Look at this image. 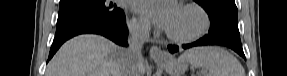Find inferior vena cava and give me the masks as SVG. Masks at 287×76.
<instances>
[{"label":"inferior vena cava","instance_id":"1","mask_svg":"<svg viewBox=\"0 0 287 76\" xmlns=\"http://www.w3.org/2000/svg\"><path fill=\"white\" fill-rule=\"evenodd\" d=\"M129 38L128 47L124 49V61L121 76H139L143 67L142 47L149 40L150 25L139 21L128 24Z\"/></svg>","mask_w":287,"mask_h":76}]
</instances>
